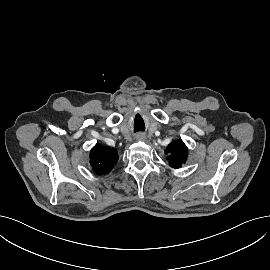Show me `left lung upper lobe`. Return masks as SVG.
Segmentation results:
<instances>
[{"label": "left lung upper lobe", "instance_id": "5c2ea615", "mask_svg": "<svg viewBox=\"0 0 270 270\" xmlns=\"http://www.w3.org/2000/svg\"><path fill=\"white\" fill-rule=\"evenodd\" d=\"M165 153L169 155V165L173 168H179L187 159L188 149L182 140H178L169 144Z\"/></svg>", "mask_w": 270, "mask_h": 270}]
</instances>
